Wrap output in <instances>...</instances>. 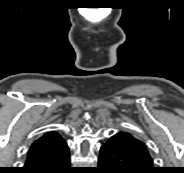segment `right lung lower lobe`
Masks as SVG:
<instances>
[{
  "instance_id": "obj_1",
  "label": "right lung lower lobe",
  "mask_w": 184,
  "mask_h": 173,
  "mask_svg": "<svg viewBox=\"0 0 184 173\" xmlns=\"http://www.w3.org/2000/svg\"><path fill=\"white\" fill-rule=\"evenodd\" d=\"M71 167L69 148L48 156L27 159L20 173H75Z\"/></svg>"
}]
</instances>
